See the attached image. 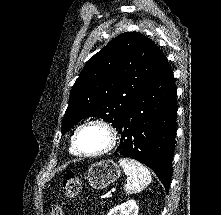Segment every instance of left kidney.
Listing matches in <instances>:
<instances>
[{"mask_svg":"<svg viewBox=\"0 0 221 215\" xmlns=\"http://www.w3.org/2000/svg\"><path fill=\"white\" fill-rule=\"evenodd\" d=\"M138 206L134 200L115 206L107 215H138Z\"/></svg>","mask_w":221,"mask_h":215,"instance_id":"1","label":"left kidney"}]
</instances>
